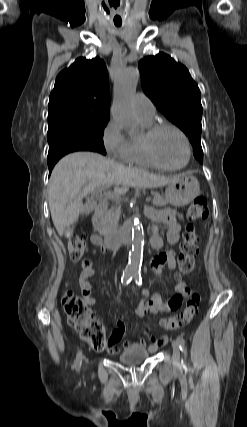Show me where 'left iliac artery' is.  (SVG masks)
Here are the masks:
<instances>
[{"label":"left iliac artery","instance_id":"1","mask_svg":"<svg viewBox=\"0 0 247 427\" xmlns=\"http://www.w3.org/2000/svg\"><path fill=\"white\" fill-rule=\"evenodd\" d=\"M134 279H135L137 285H141L142 284V278H141V274L140 273L135 274L134 275ZM177 340L179 341V348H180V350L183 351L184 344H185V341H184L183 337L182 336H178Z\"/></svg>","mask_w":247,"mask_h":427}]
</instances>
